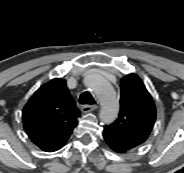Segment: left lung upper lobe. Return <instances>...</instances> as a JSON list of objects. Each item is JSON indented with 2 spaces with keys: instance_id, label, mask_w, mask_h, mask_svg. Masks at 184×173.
<instances>
[{
  "instance_id": "left-lung-upper-lobe-1",
  "label": "left lung upper lobe",
  "mask_w": 184,
  "mask_h": 173,
  "mask_svg": "<svg viewBox=\"0 0 184 173\" xmlns=\"http://www.w3.org/2000/svg\"><path fill=\"white\" fill-rule=\"evenodd\" d=\"M155 118L151 95L137 75L129 74L121 80L119 116L112 124L104 126V131L133 149L148 138Z\"/></svg>"
}]
</instances>
